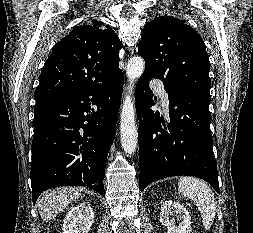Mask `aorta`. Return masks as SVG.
Wrapping results in <instances>:
<instances>
[{
	"label": "aorta",
	"instance_id": "762f6f07",
	"mask_svg": "<svg viewBox=\"0 0 253 233\" xmlns=\"http://www.w3.org/2000/svg\"><path fill=\"white\" fill-rule=\"evenodd\" d=\"M145 69L144 59L140 56L130 58L126 67V73L130 81L128 92L125 96L121 112L120 137L124 151L132 155L138 143L137 127L135 122V107L132 101L134 81L141 77Z\"/></svg>",
	"mask_w": 253,
	"mask_h": 233
}]
</instances>
